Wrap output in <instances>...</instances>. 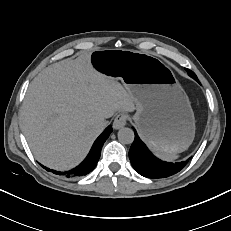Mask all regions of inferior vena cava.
I'll use <instances>...</instances> for the list:
<instances>
[{
    "mask_svg": "<svg viewBox=\"0 0 231 231\" xmlns=\"http://www.w3.org/2000/svg\"><path fill=\"white\" fill-rule=\"evenodd\" d=\"M108 124H109L108 121L103 120V121L101 122V127H102V128H105Z\"/></svg>",
    "mask_w": 231,
    "mask_h": 231,
    "instance_id": "1",
    "label": "inferior vena cava"
}]
</instances>
